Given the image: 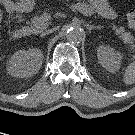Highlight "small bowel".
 I'll return each instance as SVG.
<instances>
[{
  "label": "small bowel",
  "instance_id": "c3829d8e",
  "mask_svg": "<svg viewBox=\"0 0 135 135\" xmlns=\"http://www.w3.org/2000/svg\"><path fill=\"white\" fill-rule=\"evenodd\" d=\"M97 12L106 19H113L116 16L115 10L109 5L107 0H92ZM0 4L6 12L13 16L16 12H23L25 10L27 0H0ZM2 15L0 13V25Z\"/></svg>",
  "mask_w": 135,
  "mask_h": 135
}]
</instances>
